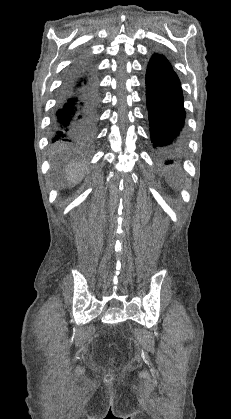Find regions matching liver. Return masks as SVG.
<instances>
[{"label": "liver", "instance_id": "1", "mask_svg": "<svg viewBox=\"0 0 231 419\" xmlns=\"http://www.w3.org/2000/svg\"><path fill=\"white\" fill-rule=\"evenodd\" d=\"M83 177L84 172L81 166L72 164L66 169V179L69 186L78 184Z\"/></svg>", "mask_w": 231, "mask_h": 419}]
</instances>
